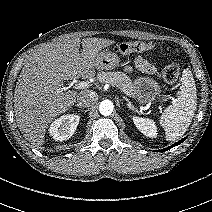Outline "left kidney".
I'll use <instances>...</instances> for the list:
<instances>
[{"mask_svg": "<svg viewBox=\"0 0 212 212\" xmlns=\"http://www.w3.org/2000/svg\"><path fill=\"white\" fill-rule=\"evenodd\" d=\"M135 126L146 136L156 137L157 136V127L155 122L150 119H144L139 117H133Z\"/></svg>", "mask_w": 212, "mask_h": 212, "instance_id": "obj_1", "label": "left kidney"}]
</instances>
